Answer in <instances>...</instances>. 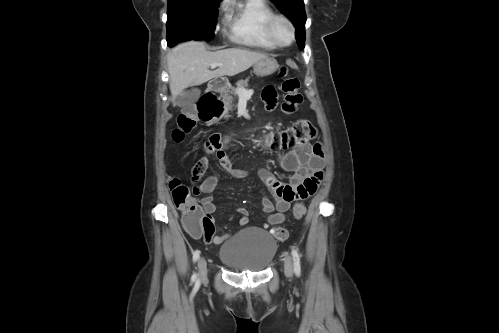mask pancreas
<instances>
[{
	"label": "pancreas",
	"instance_id": "1",
	"mask_svg": "<svg viewBox=\"0 0 499 333\" xmlns=\"http://www.w3.org/2000/svg\"><path fill=\"white\" fill-rule=\"evenodd\" d=\"M249 79L240 80L237 82L238 88H247ZM221 97L223 98V102L225 105V111H229L234 109L236 106L234 104L236 99V89L233 88H225L221 92Z\"/></svg>",
	"mask_w": 499,
	"mask_h": 333
}]
</instances>
